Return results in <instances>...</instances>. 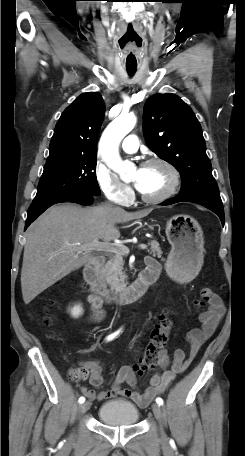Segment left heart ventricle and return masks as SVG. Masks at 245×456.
<instances>
[{"mask_svg":"<svg viewBox=\"0 0 245 456\" xmlns=\"http://www.w3.org/2000/svg\"><path fill=\"white\" fill-rule=\"evenodd\" d=\"M132 179L138 183V189L147 196L162 194L169 188L172 181L169 170L160 164L134 170Z\"/></svg>","mask_w":245,"mask_h":456,"instance_id":"left-heart-ventricle-1","label":"left heart ventricle"}]
</instances>
